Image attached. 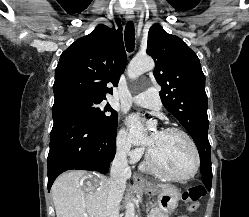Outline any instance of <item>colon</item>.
Instances as JSON below:
<instances>
[{
	"instance_id": "5ec220e1",
	"label": "colon",
	"mask_w": 249,
	"mask_h": 217,
	"mask_svg": "<svg viewBox=\"0 0 249 217\" xmlns=\"http://www.w3.org/2000/svg\"><path fill=\"white\" fill-rule=\"evenodd\" d=\"M204 195L205 189L201 186L190 187L183 193V199L189 203L188 210L190 212L197 211L199 207V200Z\"/></svg>"
}]
</instances>
